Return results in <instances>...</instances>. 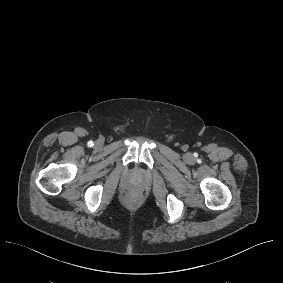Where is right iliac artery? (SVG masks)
<instances>
[{
  "label": "right iliac artery",
  "instance_id": "82829eb1",
  "mask_svg": "<svg viewBox=\"0 0 283 283\" xmlns=\"http://www.w3.org/2000/svg\"><path fill=\"white\" fill-rule=\"evenodd\" d=\"M87 145L89 146V147H92L94 144H93V141H89L88 143H87Z\"/></svg>",
  "mask_w": 283,
  "mask_h": 283
}]
</instances>
